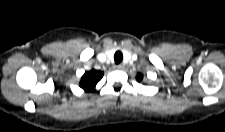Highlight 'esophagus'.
<instances>
[{"label":"esophagus","mask_w":225,"mask_h":132,"mask_svg":"<svg viewBox=\"0 0 225 132\" xmlns=\"http://www.w3.org/2000/svg\"><path fill=\"white\" fill-rule=\"evenodd\" d=\"M116 68H117L118 70H123L124 65H123V64H119V65L116 66Z\"/></svg>","instance_id":"1"}]
</instances>
